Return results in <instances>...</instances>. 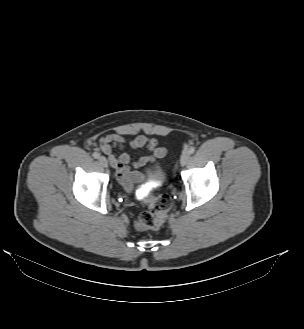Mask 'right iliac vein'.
Segmentation results:
<instances>
[{
    "instance_id": "63e3f726",
    "label": "right iliac vein",
    "mask_w": 304,
    "mask_h": 329,
    "mask_svg": "<svg viewBox=\"0 0 304 329\" xmlns=\"http://www.w3.org/2000/svg\"><path fill=\"white\" fill-rule=\"evenodd\" d=\"M99 163L103 166V167H108V161L104 156H100L99 157Z\"/></svg>"
}]
</instances>
